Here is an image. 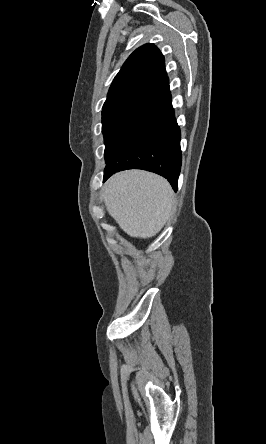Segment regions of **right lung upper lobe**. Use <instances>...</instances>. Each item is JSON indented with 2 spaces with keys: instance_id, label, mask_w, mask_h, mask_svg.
<instances>
[{
  "instance_id": "right-lung-upper-lobe-1",
  "label": "right lung upper lobe",
  "mask_w": 266,
  "mask_h": 444,
  "mask_svg": "<svg viewBox=\"0 0 266 444\" xmlns=\"http://www.w3.org/2000/svg\"><path fill=\"white\" fill-rule=\"evenodd\" d=\"M132 95H148L167 105L171 103L164 56L154 44H145L128 57L114 78L105 103Z\"/></svg>"
}]
</instances>
